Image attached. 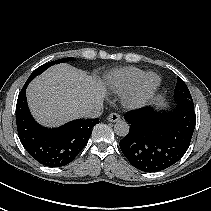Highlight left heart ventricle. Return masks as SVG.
Here are the masks:
<instances>
[{
    "mask_svg": "<svg viewBox=\"0 0 211 211\" xmlns=\"http://www.w3.org/2000/svg\"><path fill=\"white\" fill-rule=\"evenodd\" d=\"M156 83V78L155 77H151L149 80H148V85H154Z\"/></svg>",
    "mask_w": 211,
    "mask_h": 211,
    "instance_id": "left-heart-ventricle-1",
    "label": "left heart ventricle"
}]
</instances>
